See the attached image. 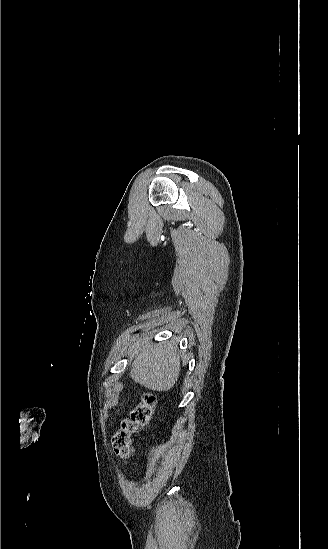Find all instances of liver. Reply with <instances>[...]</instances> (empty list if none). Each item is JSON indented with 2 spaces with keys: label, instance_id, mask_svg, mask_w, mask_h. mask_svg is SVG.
<instances>
[{
  "label": "liver",
  "instance_id": "1",
  "mask_svg": "<svg viewBox=\"0 0 328 549\" xmlns=\"http://www.w3.org/2000/svg\"><path fill=\"white\" fill-rule=\"evenodd\" d=\"M176 349V343H136V359L130 371L131 379L151 391H170L178 381L181 371Z\"/></svg>",
  "mask_w": 328,
  "mask_h": 549
}]
</instances>
